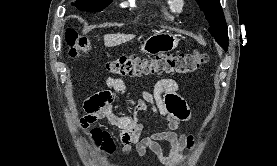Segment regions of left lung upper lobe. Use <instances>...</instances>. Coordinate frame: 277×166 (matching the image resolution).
Wrapping results in <instances>:
<instances>
[{
	"label": "left lung upper lobe",
	"mask_w": 277,
	"mask_h": 166,
	"mask_svg": "<svg viewBox=\"0 0 277 166\" xmlns=\"http://www.w3.org/2000/svg\"><path fill=\"white\" fill-rule=\"evenodd\" d=\"M210 23L209 32L217 43L228 50V33L220 0H196Z\"/></svg>",
	"instance_id": "1"
}]
</instances>
